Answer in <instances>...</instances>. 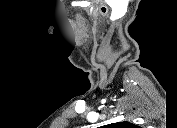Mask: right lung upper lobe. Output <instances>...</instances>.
Returning <instances> with one entry per match:
<instances>
[{"instance_id": "1", "label": "right lung upper lobe", "mask_w": 177, "mask_h": 128, "mask_svg": "<svg viewBox=\"0 0 177 128\" xmlns=\"http://www.w3.org/2000/svg\"><path fill=\"white\" fill-rule=\"evenodd\" d=\"M112 126L117 127V128H137L136 125L129 123V122H119L115 123Z\"/></svg>"}]
</instances>
